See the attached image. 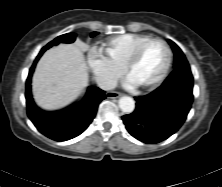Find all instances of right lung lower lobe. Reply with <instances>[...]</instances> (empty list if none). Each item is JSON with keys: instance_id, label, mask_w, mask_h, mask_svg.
<instances>
[{"instance_id": "98d812e1", "label": "right lung lower lobe", "mask_w": 222, "mask_h": 187, "mask_svg": "<svg viewBox=\"0 0 222 187\" xmlns=\"http://www.w3.org/2000/svg\"><path fill=\"white\" fill-rule=\"evenodd\" d=\"M42 48L36 57L26 80L27 114L43 135L55 141H66L80 135L94 119L99 103L105 99V91L90 86L83 99L74 107L47 112L38 108L31 94V77L38 59L47 50Z\"/></svg>"}]
</instances>
